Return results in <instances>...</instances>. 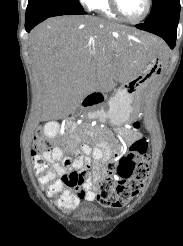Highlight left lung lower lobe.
I'll return each mask as SVG.
<instances>
[{
  "mask_svg": "<svg viewBox=\"0 0 183 246\" xmlns=\"http://www.w3.org/2000/svg\"><path fill=\"white\" fill-rule=\"evenodd\" d=\"M179 13L180 6L155 21L136 25V28L162 37L170 48L173 49L176 43Z\"/></svg>",
  "mask_w": 183,
  "mask_h": 246,
  "instance_id": "1",
  "label": "left lung lower lobe"
}]
</instances>
